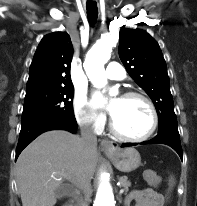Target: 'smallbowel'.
Listing matches in <instances>:
<instances>
[{
	"instance_id": "obj_1",
	"label": "small bowel",
	"mask_w": 197,
	"mask_h": 206,
	"mask_svg": "<svg viewBox=\"0 0 197 206\" xmlns=\"http://www.w3.org/2000/svg\"><path fill=\"white\" fill-rule=\"evenodd\" d=\"M134 202L135 206H164L163 196L152 190H134L126 198V203Z\"/></svg>"
}]
</instances>
